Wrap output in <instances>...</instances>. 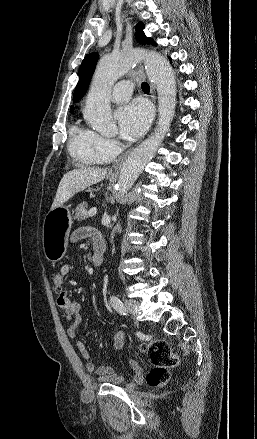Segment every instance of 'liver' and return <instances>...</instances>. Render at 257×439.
<instances>
[{
    "instance_id": "1",
    "label": "liver",
    "mask_w": 257,
    "mask_h": 439,
    "mask_svg": "<svg viewBox=\"0 0 257 439\" xmlns=\"http://www.w3.org/2000/svg\"><path fill=\"white\" fill-rule=\"evenodd\" d=\"M107 175V169L79 168L67 172L61 179L51 209L62 206L75 194L87 187L102 181Z\"/></svg>"
}]
</instances>
